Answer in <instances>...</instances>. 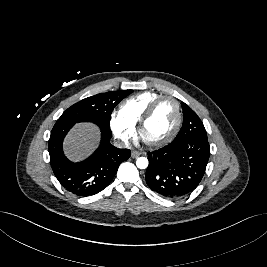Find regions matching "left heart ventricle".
<instances>
[{"label": "left heart ventricle", "instance_id": "left-heart-ventricle-1", "mask_svg": "<svg viewBox=\"0 0 267 267\" xmlns=\"http://www.w3.org/2000/svg\"><path fill=\"white\" fill-rule=\"evenodd\" d=\"M177 119L175 104L170 100L161 102L142 130V139L152 142L166 137Z\"/></svg>", "mask_w": 267, "mask_h": 267}]
</instances>
